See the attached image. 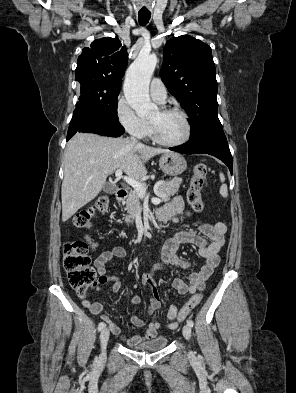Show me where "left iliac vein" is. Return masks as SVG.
<instances>
[{
	"label": "left iliac vein",
	"mask_w": 296,
	"mask_h": 393,
	"mask_svg": "<svg viewBox=\"0 0 296 393\" xmlns=\"http://www.w3.org/2000/svg\"><path fill=\"white\" fill-rule=\"evenodd\" d=\"M183 335L187 340H189L191 337V327L188 324L184 325L183 327Z\"/></svg>",
	"instance_id": "left-iliac-vein-1"
}]
</instances>
